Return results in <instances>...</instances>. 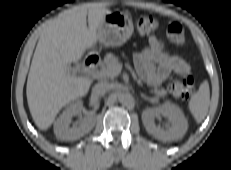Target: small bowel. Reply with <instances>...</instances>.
I'll use <instances>...</instances> for the list:
<instances>
[{
  "label": "small bowel",
  "instance_id": "small-bowel-1",
  "mask_svg": "<svg viewBox=\"0 0 231 170\" xmlns=\"http://www.w3.org/2000/svg\"><path fill=\"white\" fill-rule=\"evenodd\" d=\"M168 36L177 44L184 42L182 27L178 24L168 27ZM134 60L142 77L151 85L161 84L173 72L183 76L190 72L187 61L168 53L155 37L150 39L148 47L134 55Z\"/></svg>",
  "mask_w": 231,
  "mask_h": 170
}]
</instances>
